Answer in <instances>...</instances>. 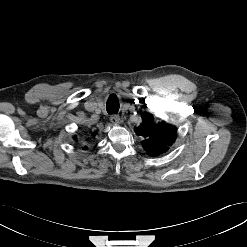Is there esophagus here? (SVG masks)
<instances>
[{"mask_svg": "<svg viewBox=\"0 0 247 247\" xmlns=\"http://www.w3.org/2000/svg\"><path fill=\"white\" fill-rule=\"evenodd\" d=\"M110 121H111L113 124H119V123H120V117H119V115H116V114L112 115V116L110 117Z\"/></svg>", "mask_w": 247, "mask_h": 247, "instance_id": "34e87169", "label": "esophagus"}]
</instances>
